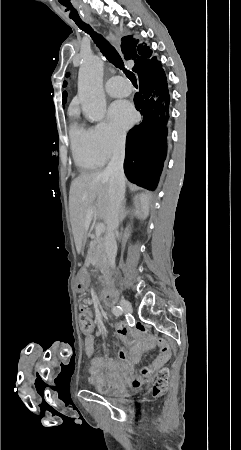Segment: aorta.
I'll list each match as a JSON object with an SVG mask.
<instances>
[{
    "label": "aorta",
    "instance_id": "obj_1",
    "mask_svg": "<svg viewBox=\"0 0 241 450\" xmlns=\"http://www.w3.org/2000/svg\"><path fill=\"white\" fill-rule=\"evenodd\" d=\"M103 62L93 56L86 58L79 69L78 94L82 111L90 121H101L106 112L102 88Z\"/></svg>",
    "mask_w": 241,
    "mask_h": 450
}]
</instances>
